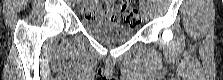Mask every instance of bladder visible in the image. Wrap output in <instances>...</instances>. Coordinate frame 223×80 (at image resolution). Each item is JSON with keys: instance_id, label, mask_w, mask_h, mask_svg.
<instances>
[{"instance_id": "obj_1", "label": "bladder", "mask_w": 223, "mask_h": 80, "mask_svg": "<svg viewBox=\"0 0 223 80\" xmlns=\"http://www.w3.org/2000/svg\"><path fill=\"white\" fill-rule=\"evenodd\" d=\"M82 26L87 33L106 42L129 40L136 34L135 28L109 20L85 17Z\"/></svg>"}]
</instances>
